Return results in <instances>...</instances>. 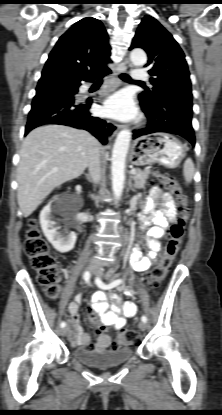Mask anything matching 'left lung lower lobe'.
Returning <instances> with one entry per match:
<instances>
[{
    "mask_svg": "<svg viewBox=\"0 0 222 415\" xmlns=\"http://www.w3.org/2000/svg\"><path fill=\"white\" fill-rule=\"evenodd\" d=\"M172 99H177L179 106L176 110L169 111L172 109L168 106ZM140 105L148 119V124L146 127L134 131V139L155 132H167L179 135L195 146L194 129L191 123L192 92L190 81H166L159 86L155 103L146 104L140 101Z\"/></svg>",
    "mask_w": 222,
    "mask_h": 415,
    "instance_id": "left-lung-lower-lobe-1",
    "label": "left lung lower lobe"
}]
</instances>
